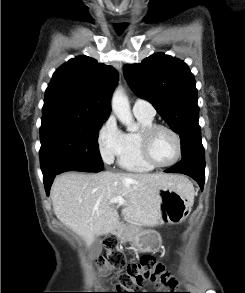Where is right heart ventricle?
<instances>
[{
    "instance_id": "1",
    "label": "right heart ventricle",
    "mask_w": 245,
    "mask_h": 293,
    "mask_svg": "<svg viewBox=\"0 0 245 293\" xmlns=\"http://www.w3.org/2000/svg\"><path fill=\"white\" fill-rule=\"evenodd\" d=\"M140 128L135 132L124 133V144L118 155V166L129 172H150L154 169L142 157L139 144V133L142 129L154 124V116L135 115Z\"/></svg>"
}]
</instances>
